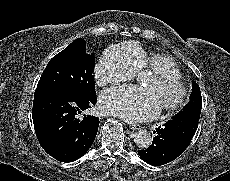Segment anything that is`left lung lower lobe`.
Instances as JSON below:
<instances>
[{
  "label": "left lung lower lobe",
  "mask_w": 230,
  "mask_h": 181,
  "mask_svg": "<svg viewBox=\"0 0 230 181\" xmlns=\"http://www.w3.org/2000/svg\"><path fill=\"white\" fill-rule=\"evenodd\" d=\"M199 117L181 115L159 126L153 133L152 145L138 150L139 156L153 166H160L175 160L189 146L198 127Z\"/></svg>",
  "instance_id": "obj_1"
}]
</instances>
